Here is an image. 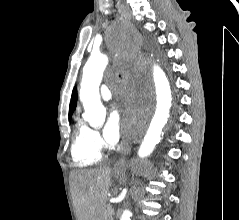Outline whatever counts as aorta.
Masks as SVG:
<instances>
[{
    "label": "aorta",
    "mask_w": 239,
    "mask_h": 220,
    "mask_svg": "<svg viewBox=\"0 0 239 220\" xmlns=\"http://www.w3.org/2000/svg\"><path fill=\"white\" fill-rule=\"evenodd\" d=\"M114 40H134L133 33H114ZM134 46V45H113ZM144 60H155L144 57ZM108 64V57L105 54L92 55L83 69V77L80 88V100L85 110V119L92 126H99L105 119L106 109L102 105L99 86L103 77V72ZM151 75L156 91V110L151 120L146 135L139 147L138 156L148 157L160 142L162 131L166 125L171 108V90L169 81L160 63L152 65V70H146ZM131 212L125 209L120 220H131Z\"/></svg>",
    "instance_id": "762f6f07"
}]
</instances>
